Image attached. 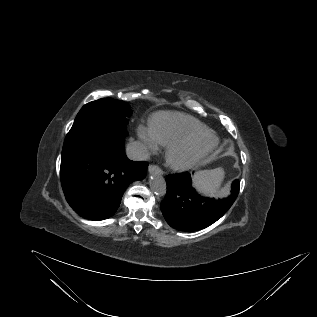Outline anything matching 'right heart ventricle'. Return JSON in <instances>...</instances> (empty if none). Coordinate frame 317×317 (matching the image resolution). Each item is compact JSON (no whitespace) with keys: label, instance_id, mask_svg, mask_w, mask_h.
I'll use <instances>...</instances> for the list:
<instances>
[{"label":"right heart ventricle","instance_id":"e07e8e85","mask_svg":"<svg viewBox=\"0 0 317 317\" xmlns=\"http://www.w3.org/2000/svg\"><path fill=\"white\" fill-rule=\"evenodd\" d=\"M149 127L162 147H169L183 137L207 130L196 118L179 112H157L149 119Z\"/></svg>","mask_w":317,"mask_h":317}]
</instances>
